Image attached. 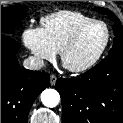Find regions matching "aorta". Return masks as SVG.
<instances>
[{
    "mask_svg": "<svg viewBox=\"0 0 123 123\" xmlns=\"http://www.w3.org/2000/svg\"><path fill=\"white\" fill-rule=\"evenodd\" d=\"M60 95L55 89H45L41 93V102L44 106L53 108L59 104Z\"/></svg>",
    "mask_w": 123,
    "mask_h": 123,
    "instance_id": "762f6f07",
    "label": "aorta"
}]
</instances>
